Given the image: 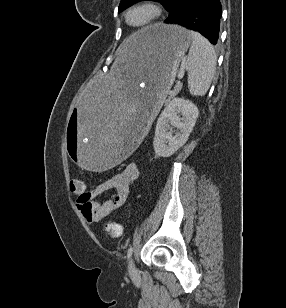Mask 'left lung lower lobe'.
<instances>
[{"instance_id": "0a47b994", "label": "left lung lower lobe", "mask_w": 286, "mask_h": 308, "mask_svg": "<svg viewBox=\"0 0 286 308\" xmlns=\"http://www.w3.org/2000/svg\"><path fill=\"white\" fill-rule=\"evenodd\" d=\"M168 11L165 23L198 31L212 44L217 43L222 14L220 0H173Z\"/></svg>"}]
</instances>
